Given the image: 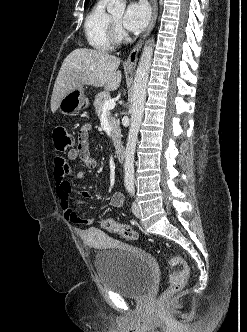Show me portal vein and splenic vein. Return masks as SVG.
<instances>
[{"label":"portal vein and splenic vein","mask_w":247,"mask_h":332,"mask_svg":"<svg viewBox=\"0 0 247 332\" xmlns=\"http://www.w3.org/2000/svg\"><path fill=\"white\" fill-rule=\"evenodd\" d=\"M116 103L114 100L110 99L104 102L103 110H110L115 107Z\"/></svg>","instance_id":"1"}]
</instances>
